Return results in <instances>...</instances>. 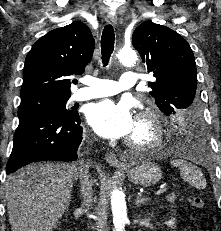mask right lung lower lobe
I'll return each instance as SVG.
<instances>
[{
  "label": "right lung lower lobe",
  "instance_id": "98d812e1",
  "mask_svg": "<svg viewBox=\"0 0 221 231\" xmlns=\"http://www.w3.org/2000/svg\"><path fill=\"white\" fill-rule=\"evenodd\" d=\"M78 112L35 111L19 118L6 173L36 161H74L82 141Z\"/></svg>",
  "mask_w": 221,
  "mask_h": 231
}]
</instances>
